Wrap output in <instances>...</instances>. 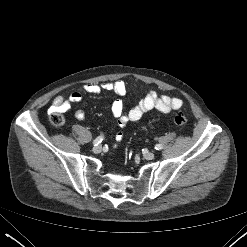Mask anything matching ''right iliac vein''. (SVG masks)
<instances>
[{
    "label": "right iliac vein",
    "mask_w": 247,
    "mask_h": 247,
    "mask_svg": "<svg viewBox=\"0 0 247 247\" xmlns=\"http://www.w3.org/2000/svg\"><path fill=\"white\" fill-rule=\"evenodd\" d=\"M102 151V146L101 145H97L93 148V152L98 154Z\"/></svg>",
    "instance_id": "right-iliac-vein-1"
}]
</instances>
